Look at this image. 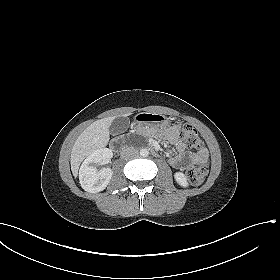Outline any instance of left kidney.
Wrapping results in <instances>:
<instances>
[{"label":"left kidney","instance_id":"1","mask_svg":"<svg viewBox=\"0 0 280 280\" xmlns=\"http://www.w3.org/2000/svg\"><path fill=\"white\" fill-rule=\"evenodd\" d=\"M174 178L180 186H182V187L188 186L187 178H186L185 174H183L182 172H176L174 174Z\"/></svg>","mask_w":280,"mask_h":280}]
</instances>
